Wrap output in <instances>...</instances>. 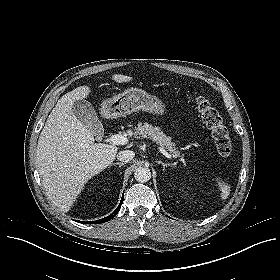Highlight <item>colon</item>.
<instances>
[{"label":"colon","instance_id":"5ec220e1","mask_svg":"<svg viewBox=\"0 0 280 280\" xmlns=\"http://www.w3.org/2000/svg\"><path fill=\"white\" fill-rule=\"evenodd\" d=\"M197 110L203 123L210 130L218 153L227 157L232 151L228 129L223 123L219 111L206 99L197 100Z\"/></svg>","mask_w":280,"mask_h":280}]
</instances>
